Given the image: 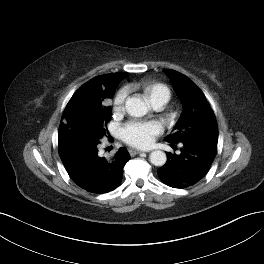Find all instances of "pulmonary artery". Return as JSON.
Segmentation results:
<instances>
[{"label":"pulmonary artery","instance_id":"1","mask_svg":"<svg viewBox=\"0 0 264 264\" xmlns=\"http://www.w3.org/2000/svg\"><path fill=\"white\" fill-rule=\"evenodd\" d=\"M165 102L163 101H157V102H154L152 105H153V108L157 111H160L163 109V107L165 106Z\"/></svg>","mask_w":264,"mask_h":264}]
</instances>
